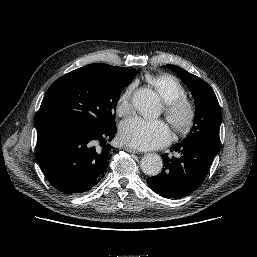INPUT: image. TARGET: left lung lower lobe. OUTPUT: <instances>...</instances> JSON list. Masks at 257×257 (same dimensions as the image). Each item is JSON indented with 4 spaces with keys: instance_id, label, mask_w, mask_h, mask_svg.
Here are the masks:
<instances>
[{
    "instance_id": "obj_1",
    "label": "left lung lower lobe",
    "mask_w": 257,
    "mask_h": 257,
    "mask_svg": "<svg viewBox=\"0 0 257 257\" xmlns=\"http://www.w3.org/2000/svg\"><path fill=\"white\" fill-rule=\"evenodd\" d=\"M170 151L176 156L162 154L163 170L160 175L147 178V184L165 198H182L201 186L218 146L202 141H182Z\"/></svg>"
}]
</instances>
